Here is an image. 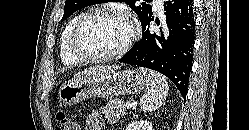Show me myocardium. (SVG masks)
Returning <instances> with one entry per match:
<instances>
[{
	"instance_id": "obj_1",
	"label": "myocardium",
	"mask_w": 249,
	"mask_h": 130,
	"mask_svg": "<svg viewBox=\"0 0 249 130\" xmlns=\"http://www.w3.org/2000/svg\"><path fill=\"white\" fill-rule=\"evenodd\" d=\"M99 16H118L126 19L131 27V34L124 45L116 52L111 54L99 55L93 54L84 51L80 46V35L84 28V26L93 18ZM138 35L136 25L134 22L129 18V16L119 10L115 9H95L89 12H86L76 23L71 39H70V51L71 53L81 61H89V62H107L113 61L122 58L131 48L134 41L136 40Z\"/></svg>"
}]
</instances>
